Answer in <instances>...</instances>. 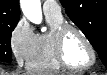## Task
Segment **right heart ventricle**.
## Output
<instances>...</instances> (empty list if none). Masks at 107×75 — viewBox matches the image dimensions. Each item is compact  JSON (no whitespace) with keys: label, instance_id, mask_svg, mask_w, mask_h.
I'll list each match as a JSON object with an SVG mask.
<instances>
[{"label":"right heart ventricle","instance_id":"e07e8e85","mask_svg":"<svg viewBox=\"0 0 107 75\" xmlns=\"http://www.w3.org/2000/svg\"><path fill=\"white\" fill-rule=\"evenodd\" d=\"M46 19L50 25V31L36 35L33 50L27 62V68L30 71L56 72L62 69L55 58L54 33L64 24V19L62 16L52 15H46Z\"/></svg>","mask_w":107,"mask_h":75}]
</instances>
